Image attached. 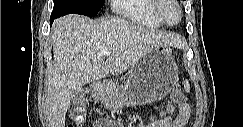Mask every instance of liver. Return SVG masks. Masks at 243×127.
Wrapping results in <instances>:
<instances>
[{
    "instance_id": "liver-1",
    "label": "liver",
    "mask_w": 243,
    "mask_h": 127,
    "mask_svg": "<svg viewBox=\"0 0 243 127\" xmlns=\"http://www.w3.org/2000/svg\"><path fill=\"white\" fill-rule=\"evenodd\" d=\"M51 38L54 59L46 94L50 127H65L75 90L125 72L155 48L186 45L178 34L141 28L125 19L91 20L73 14L54 21ZM105 49L111 51L106 60L101 54Z\"/></svg>"
}]
</instances>
